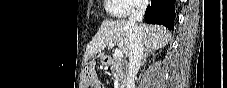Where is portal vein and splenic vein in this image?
<instances>
[{
	"label": "portal vein and splenic vein",
	"mask_w": 227,
	"mask_h": 88,
	"mask_svg": "<svg viewBox=\"0 0 227 88\" xmlns=\"http://www.w3.org/2000/svg\"><path fill=\"white\" fill-rule=\"evenodd\" d=\"M108 45H109V47H114L115 43L114 42H110ZM114 54H115V56H117L119 58L123 57V52L120 49H115Z\"/></svg>",
	"instance_id": "1"
}]
</instances>
